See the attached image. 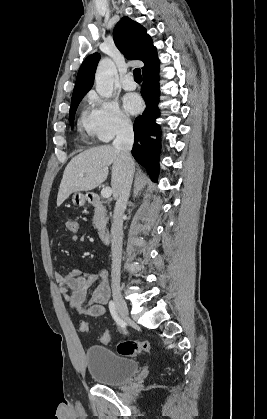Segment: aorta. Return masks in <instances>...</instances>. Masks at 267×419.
<instances>
[{"label": "aorta", "instance_id": "aorta-1", "mask_svg": "<svg viewBox=\"0 0 267 419\" xmlns=\"http://www.w3.org/2000/svg\"><path fill=\"white\" fill-rule=\"evenodd\" d=\"M116 67L110 58L102 59L96 69V91L103 98H110L113 93Z\"/></svg>", "mask_w": 267, "mask_h": 419}]
</instances>
